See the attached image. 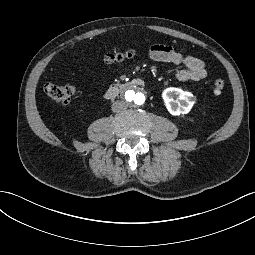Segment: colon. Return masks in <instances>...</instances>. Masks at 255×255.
I'll return each mask as SVG.
<instances>
[{
  "mask_svg": "<svg viewBox=\"0 0 255 255\" xmlns=\"http://www.w3.org/2000/svg\"><path fill=\"white\" fill-rule=\"evenodd\" d=\"M133 53L134 51L131 49L124 50L121 52L109 53L105 55L104 60L108 63L120 62L130 58L133 55ZM212 87L213 91L216 94H219L223 91L225 83L222 79H216L213 82ZM44 91L49 98L62 104H68L75 94V88L72 85L68 84L56 85L49 83L44 86Z\"/></svg>",
  "mask_w": 255,
  "mask_h": 255,
  "instance_id": "colon-1",
  "label": "colon"
}]
</instances>
